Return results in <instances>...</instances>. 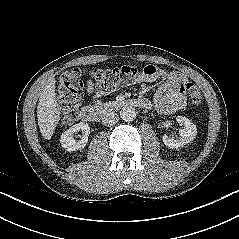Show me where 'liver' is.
I'll list each match as a JSON object with an SVG mask.
<instances>
[{"mask_svg":"<svg viewBox=\"0 0 239 239\" xmlns=\"http://www.w3.org/2000/svg\"><path fill=\"white\" fill-rule=\"evenodd\" d=\"M37 119L42 136L51 139L60 120V109L55 94V79H49L40 94L37 106Z\"/></svg>","mask_w":239,"mask_h":239,"instance_id":"1","label":"liver"}]
</instances>
